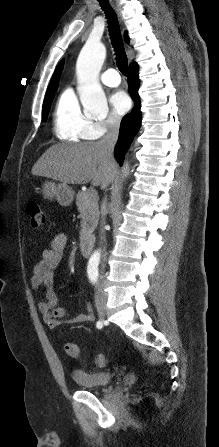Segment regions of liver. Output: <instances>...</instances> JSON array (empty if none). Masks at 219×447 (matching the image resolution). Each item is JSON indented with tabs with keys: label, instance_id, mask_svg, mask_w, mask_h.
Listing matches in <instances>:
<instances>
[{
	"label": "liver",
	"instance_id": "1",
	"mask_svg": "<svg viewBox=\"0 0 219 447\" xmlns=\"http://www.w3.org/2000/svg\"><path fill=\"white\" fill-rule=\"evenodd\" d=\"M116 162L97 142L62 143L47 149L32 168V174L65 184L108 186L115 177Z\"/></svg>",
	"mask_w": 219,
	"mask_h": 447
}]
</instances>
